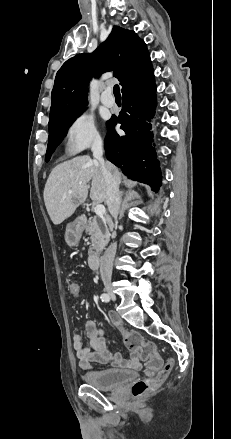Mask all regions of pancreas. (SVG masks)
<instances>
[{
	"mask_svg": "<svg viewBox=\"0 0 231 439\" xmlns=\"http://www.w3.org/2000/svg\"><path fill=\"white\" fill-rule=\"evenodd\" d=\"M86 233L91 237V248L88 251L90 256L100 253L109 241V229L107 225L99 223L97 218H90L86 228Z\"/></svg>",
	"mask_w": 231,
	"mask_h": 439,
	"instance_id": "pancreas-1",
	"label": "pancreas"
}]
</instances>
